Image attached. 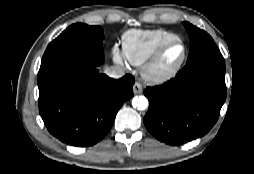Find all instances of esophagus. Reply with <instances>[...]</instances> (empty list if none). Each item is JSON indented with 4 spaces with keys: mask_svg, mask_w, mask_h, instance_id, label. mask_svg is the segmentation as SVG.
<instances>
[{
    "mask_svg": "<svg viewBox=\"0 0 254 174\" xmlns=\"http://www.w3.org/2000/svg\"><path fill=\"white\" fill-rule=\"evenodd\" d=\"M133 92H134V94H140V93H142V84L139 81H137L133 85Z\"/></svg>",
    "mask_w": 254,
    "mask_h": 174,
    "instance_id": "esophagus-1",
    "label": "esophagus"
}]
</instances>
